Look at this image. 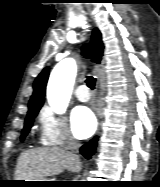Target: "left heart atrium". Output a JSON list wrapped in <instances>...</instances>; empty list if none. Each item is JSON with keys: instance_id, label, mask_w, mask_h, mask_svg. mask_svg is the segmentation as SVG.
Instances as JSON below:
<instances>
[{"instance_id": "1", "label": "left heart atrium", "mask_w": 160, "mask_h": 187, "mask_svg": "<svg viewBox=\"0 0 160 187\" xmlns=\"http://www.w3.org/2000/svg\"><path fill=\"white\" fill-rule=\"evenodd\" d=\"M73 132L79 138L90 137L96 128V119L93 113L85 106L77 107L71 116Z\"/></svg>"}]
</instances>
